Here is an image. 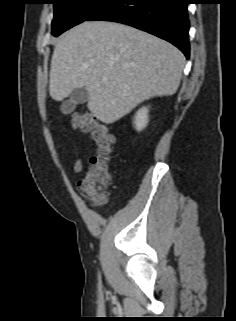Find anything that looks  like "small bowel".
Wrapping results in <instances>:
<instances>
[{
	"label": "small bowel",
	"mask_w": 236,
	"mask_h": 321,
	"mask_svg": "<svg viewBox=\"0 0 236 321\" xmlns=\"http://www.w3.org/2000/svg\"><path fill=\"white\" fill-rule=\"evenodd\" d=\"M83 163L82 158H79L74 164V171L79 173L82 170Z\"/></svg>",
	"instance_id": "c3829d8e"
}]
</instances>
